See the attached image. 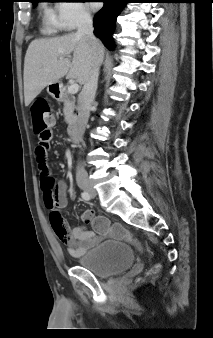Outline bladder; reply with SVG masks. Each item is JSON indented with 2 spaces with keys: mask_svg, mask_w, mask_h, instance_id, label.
Listing matches in <instances>:
<instances>
[{
  "mask_svg": "<svg viewBox=\"0 0 213 338\" xmlns=\"http://www.w3.org/2000/svg\"><path fill=\"white\" fill-rule=\"evenodd\" d=\"M78 262L95 277L107 279L130 267L134 263V255L127 243L100 242L79 257Z\"/></svg>",
  "mask_w": 213,
  "mask_h": 338,
  "instance_id": "obj_1",
  "label": "bladder"
}]
</instances>
